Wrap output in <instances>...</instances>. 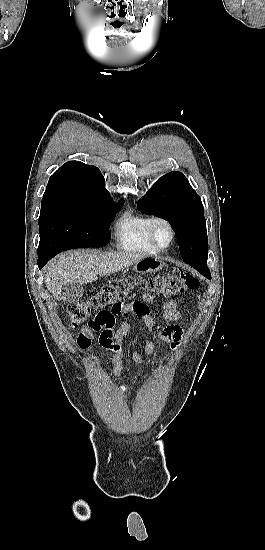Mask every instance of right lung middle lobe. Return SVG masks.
Wrapping results in <instances>:
<instances>
[{
  "label": "right lung middle lobe",
  "instance_id": "right-lung-middle-lobe-1",
  "mask_svg": "<svg viewBox=\"0 0 265 550\" xmlns=\"http://www.w3.org/2000/svg\"><path fill=\"white\" fill-rule=\"evenodd\" d=\"M124 200H47L41 203L38 256L49 257L79 247H102L109 241V226Z\"/></svg>",
  "mask_w": 265,
  "mask_h": 550
}]
</instances>
